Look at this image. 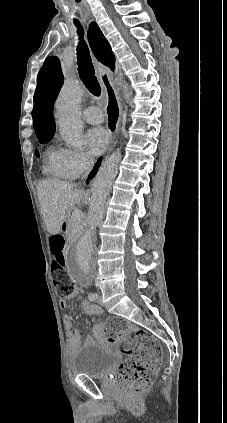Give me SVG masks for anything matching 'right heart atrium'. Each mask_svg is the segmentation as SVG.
Wrapping results in <instances>:
<instances>
[{
	"instance_id": "right-heart-atrium-1",
	"label": "right heart atrium",
	"mask_w": 227,
	"mask_h": 423,
	"mask_svg": "<svg viewBox=\"0 0 227 423\" xmlns=\"http://www.w3.org/2000/svg\"><path fill=\"white\" fill-rule=\"evenodd\" d=\"M60 155L62 174L67 179H75L88 173L94 164L93 157L81 149L63 148Z\"/></svg>"
}]
</instances>
